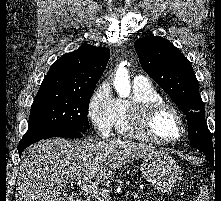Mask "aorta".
Instances as JSON below:
<instances>
[{
    "label": "aorta",
    "instance_id": "obj_1",
    "mask_svg": "<svg viewBox=\"0 0 221 201\" xmlns=\"http://www.w3.org/2000/svg\"><path fill=\"white\" fill-rule=\"evenodd\" d=\"M114 86L120 96H128L130 93L129 76L126 69H121L116 73Z\"/></svg>",
    "mask_w": 221,
    "mask_h": 201
}]
</instances>
